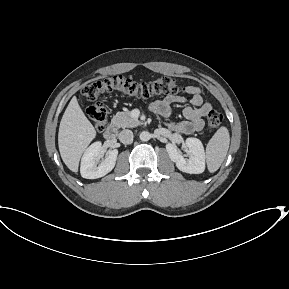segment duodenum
Segmentation results:
<instances>
[{
	"label": "duodenum",
	"mask_w": 289,
	"mask_h": 289,
	"mask_svg": "<svg viewBox=\"0 0 289 289\" xmlns=\"http://www.w3.org/2000/svg\"><path fill=\"white\" fill-rule=\"evenodd\" d=\"M116 136H117L116 126L112 125V124L109 125L104 132L105 139L108 141H113V140H115Z\"/></svg>",
	"instance_id": "obj_1"
}]
</instances>
